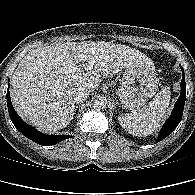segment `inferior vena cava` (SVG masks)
<instances>
[{"label": "inferior vena cava", "mask_w": 195, "mask_h": 195, "mask_svg": "<svg viewBox=\"0 0 195 195\" xmlns=\"http://www.w3.org/2000/svg\"><path fill=\"white\" fill-rule=\"evenodd\" d=\"M90 94V90L85 87H79L73 92L74 101L77 103L85 101Z\"/></svg>", "instance_id": "602c4592"}]
</instances>
